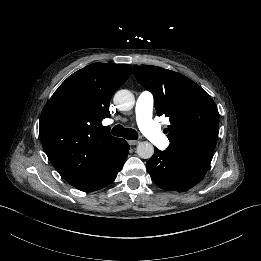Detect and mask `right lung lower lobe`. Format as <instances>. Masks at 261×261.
I'll return each mask as SVG.
<instances>
[{"label":"right lung lower lobe","instance_id":"98d812e1","mask_svg":"<svg viewBox=\"0 0 261 261\" xmlns=\"http://www.w3.org/2000/svg\"><path fill=\"white\" fill-rule=\"evenodd\" d=\"M129 148V144L125 140H119L101 163L72 177L68 180L69 184L84 192H92L106 187L115 180L117 173L122 169Z\"/></svg>","mask_w":261,"mask_h":261}]
</instances>
